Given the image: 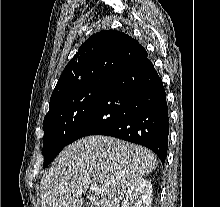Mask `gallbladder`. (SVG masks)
Listing matches in <instances>:
<instances>
[{
    "label": "gallbladder",
    "mask_w": 220,
    "mask_h": 207,
    "mask_svg": "<svg viewBox=\"0 0 220 207\" xmlns=\"http://www.w3.org/2000/svg\"><path fill=\"white\" fill-rule=\"evenodd\" d=\"M83 207H91L90 204L88 202H85Z\"/></svg>",
    "instance_id": "1"
}]
</instances>
